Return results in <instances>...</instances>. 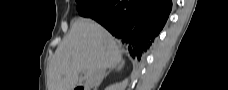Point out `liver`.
<instances>
[{"mask_svg": "<svg viewBox=\"0 0 228 90\" xmlns=\"http://www.w3.org/2000/svg\"><path fill=\"white\" fill-rule=\"evenodd\" d=\"M122 61L118 45L109 32L92 20L78 18L50 62L48 90H74L81 72L87 79L96 66L114 68Z\"/></svg>", "mask_w": 228, "mask_h": 90, "instance_id": "obj_1", "label": "liver"}]
</instances>
